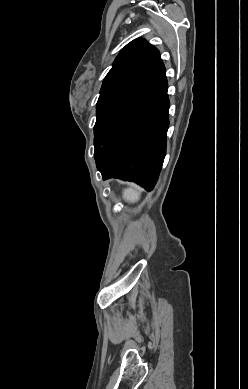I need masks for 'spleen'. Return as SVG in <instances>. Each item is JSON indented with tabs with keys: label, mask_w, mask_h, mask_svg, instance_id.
I'll return each instance as SVG.
<instances>
[{
	"label": "spleen",
	"mask_w": 248,
	"mask_h": 389,
	"mask_svg": "<svg viewBox=\"0 0 248 389\" xmlns=\"http://www.w3.org/2000/svg\"><path fill=\"white\" fill-rule=\"evenodd\" d=\"M140 195H141V189L134 184L130 185L128 188H125L123 190V198L127 202L135 203L139 201Z\"/></svg>",
	"instance_id": "1"
}]
</instances>
